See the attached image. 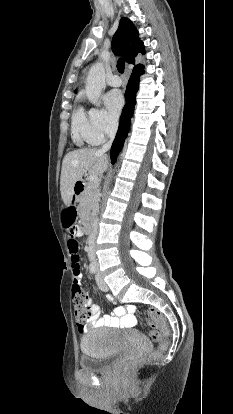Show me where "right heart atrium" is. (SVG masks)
<instances>
[{"label":"right heart atrium","instance_id":"right-heart-atrium-1","mask_svg":"<svg viewBox=\"0 0 233 414\" xmlns=\"http://www.w3.org/2000/svg\"><path fill=\"white\" fill-rule=\"evenodd\" d=\"M94 138L101 143L106 136L112 134L117 127V119L104 108L93 107L89 110Z\"/></svg>","mask_w":233,"mask_h":414}]
</instances>
